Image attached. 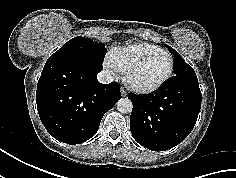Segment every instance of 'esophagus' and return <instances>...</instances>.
I'll list each match as a JSON object with an SVG mask.
<instances>
[{"label":"esophagus","instance_id":"34e87169","mask_svg":"<svg viewBox=\"0 0 236 178\" xmlns=\"http://www.w3.org/2000/svg\"><path fill=\"white\" fill-rule=\"evenodd\" d=\"M121 95H122L123 97H126V96H127V92H126V90H125L124 88H121Z\"/></svg>","mask_w":236,"mask_h":178}]
</instances>
